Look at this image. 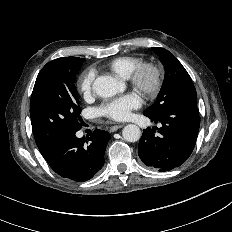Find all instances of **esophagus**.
<instances>
[{"instance_id":"esophagus-1","label":"esophagus","mask_w":232,"mask_h":232,"mask_svg":"<svg viewBox=\"0 0 232 232\" xmlns=\"http://www.w3.org/2000/svg\"><path fill=\"white\" fill-rule=\"evenodd\" d=\"M122 127H123V125H114V126L110 127V132H115Z\"/></svg>"}]
</instances>
